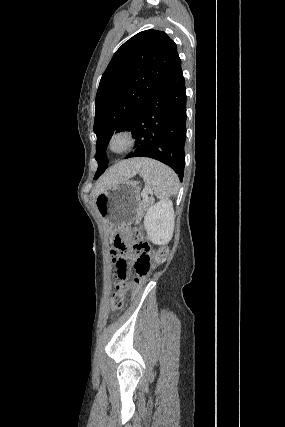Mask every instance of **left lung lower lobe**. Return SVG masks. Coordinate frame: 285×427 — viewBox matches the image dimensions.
<instances>
[{
	"instance_id": "1",
	"label": "left lung lower lobe",
	"mask_w": 285,
	"mask_h": 427,
	"mask_svg": "<svg viewBox=\"0 0 285 427\" xmlns=\"http://www.w3.org/2000/svg\"><path fill=\"white\" fill-rule=\"evenodd\" d=\"M130 130L137 148L126 158L156 159L170 166L183 180L186 90L180 58L144 104Z\"/></svg>"
}]
</instances>
